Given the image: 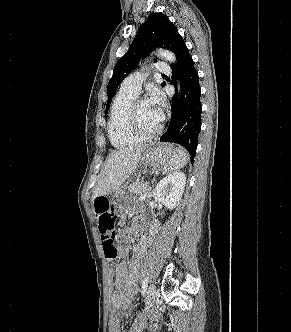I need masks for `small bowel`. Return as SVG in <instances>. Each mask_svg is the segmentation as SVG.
I'll use <instances>...</instances> for the list:
<instances>
[{
    "mask_svg": "<svg viewBox=\"0 0 291 332\" xmlns=\"http://www.w3.org/2000/svg\"><path fill=\"white\" fill-rule=\"evenodd\" d=\"M121 224L125 219H121ZM155 232V226L151 225L149 232L143 234V226L134 223L129 227L123 228L119 233L120 245L118 247V257L126 258L129 251V243L132 242L134 233L140 235V242L132 250V260L129 264L125 261L120 262L115 268V289L111 293V305L116 310H125L129 307L132 298L136 293V282L138 276L139 262L143 257L152 236Z\"/></svg>",
    "mask_w": 291,
    "mask_h": 332,
    "instance_id": "obj_1",
    "label": "small bowel"
}]
</instances>
